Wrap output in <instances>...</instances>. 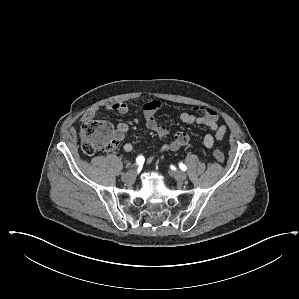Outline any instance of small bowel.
Segmentation results:
<instances>
[{"instance_id": "c3829d8e", "label": "small bowel", "mask_w": 299, "mask_h": 299, "mask_svg": "<svg viewBox=\"0 0 299 299\" xmlns=\"http://www.w3.org/2000/svg\"><path fill=\"white\" fill-rule=\"evenodd\" d=\"M162 103L160 101H151L146 103L143 106V115L145 118L146 126L148 129L153 131L158 137L163 138L168 135V128L159 123L156 120V112L160 109ZM110 111H114L120 114H125L128 112V106L124 102H115L109 104L106 107ZM99 112L97 107L89 109L82 117V120L85 122L87 120L93 119ZM180 119L186 124L200 125L209 128L212 133L206 134L203 138L204 146L211 148L216 141H221L226 134V126L220 124L219 114L211 108H192L188 110H183L180 113ZM129 131V125L127 123H119L116 129V138L118 141H122L125 135ZM189 142V135L183 131L177 132L171 141L164 144L160 153L167 151H177L180 148L186 146ZM133 145L130 142H126L123 145V150L127 153L133 151ZM155 159L154 156H151L147 159L148 163H151Z\"/></svg>"}]
</instances>
